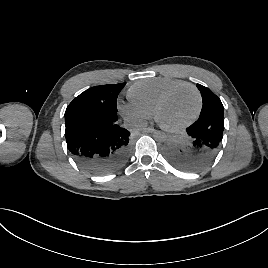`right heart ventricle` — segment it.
I'll return each instance as SVG.
<instances>
[{"mask_svg": "<svg viewBox=\"0 0 268 268\" xmlns=\"http://www.w3.org/2000/svg\"><path fill=\"white\" fill-rule=\"evenodd\" d=\"M182 82V80L165 77L140 80L129 88L128 98L131 103L152 115L160 97L169 88Z\"/></svg>", "mask_w": 268, "mask_h": 268, "instance_id": "1", "label": "right heart ventricle"}]
</instances>
